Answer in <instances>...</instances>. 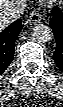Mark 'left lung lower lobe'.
I'll use <instances>...</instances> for the list:
<instances>
[{
	"label": "left lung lower lobe",
	"mask_w": 63,
	"mask_h": 107,
	"mask_svg": "<svg viewBox=\"0 0 63 107\" xmlns=\"http://www.w3.org/2000/svg\"><path fill=\"white\" fill-rule=\"evenodd\" d=\"M50 26L54 32L56 49L53 59L63 72V10L54 8L51 12Z\"/></svg>",
	"instance_id": "obj_1"
}]
</instances>
